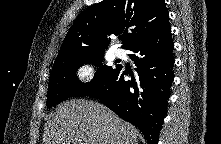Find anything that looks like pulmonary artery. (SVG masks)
I'll return each instance as SVG.
<instances>
[{"label":"pulmonary artery","mask_w":221,"mask_h":144,"mask_svg":"<svg viewBox=\"0 0 221 144\" xmlns=\"http://www.w3.org/2000/svg\"><path fill=\"white\" fill-rule=\"evenodd\" d=\"M114 53H115V56L119 58H122L125 56V51L121 48L116 49Z\"/></svg>","instance_id":"e3ab8cb5"}]
</instances>
